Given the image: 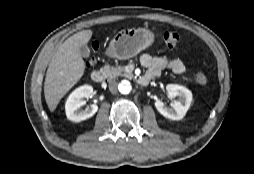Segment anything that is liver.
Masks as SVG:
<instances>
[{"mask_svg": "<svg viewBox=\"0 0 254 174\" xmlns=\"http://www.w3.org/2000/svg\"><path fill=\"white\" fill-rule=\"evenodd\" d=\"M92 34V30H83L72 35L53 55L44 83L45 100L51 112L83 76L85 63L80 54V47L89 42Z\"/></svg>", "mask_w": 254, "mask_h": 174, "instance_id": "1", "label": "liver"}]
</instances>
